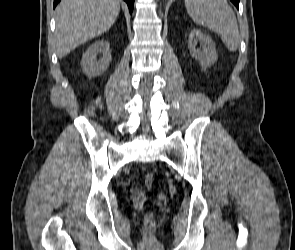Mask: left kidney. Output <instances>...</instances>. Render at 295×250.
Returning <instances> with one entry per match:
<instances>
[{"instance_id":"5707ae66","label":"left kidney","mask_w":295,"mask_h":250,"mask_svg":"<svg viewBox=\"0 0 295 250\" xmlns=\"http://www.w3.org/2000/svg\"><path fill=\"white\" fill-rule=\"evenodd\" d=\"M198 41H200L202 50L196 49ZM188 48L192 57L197 59L204 69L210 67L218 59L215 43L208 35H205L199 29H193L191 31L188 40Z\"/></svg>"}]
</instances>
